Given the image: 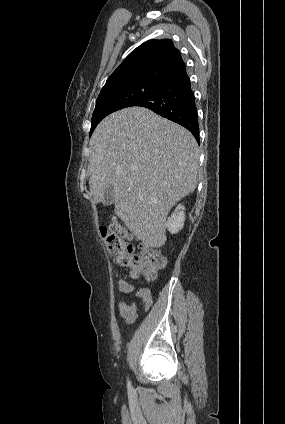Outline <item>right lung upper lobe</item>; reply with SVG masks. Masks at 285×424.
<instances>
[{"mask_svg": "<svg viewBox=\"0 0 285 424\" xmlns=\"http://www.w3.org/2000/svg\"><path fill=\"white\" fill-rule=\"evenodd\" d=\"M185 72L180 52L170 39L149 40L126 57L102 90L141 81L165 83Z\"/></svg>", "mask_w": 285, "mask_h": 424, "instance_id": "cb5924a9", "label": "right lung upper lobe"}]
</instances>
